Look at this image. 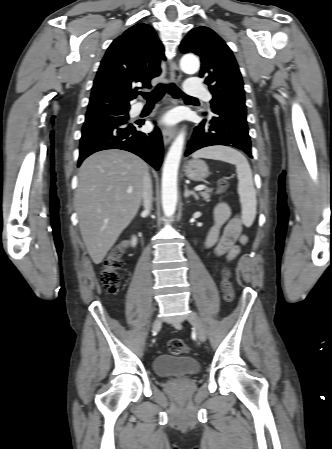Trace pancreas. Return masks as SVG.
<instances>
[{
	"label": "pancreas",
	"mask_w": 332,
	"mask_h": 449,
	"mask_svg": "<svg viewBox=\"0 0 332 449\" xmlns=\"http://www.w3.org/2000/svg\"><path fill=\"white\" fill-rule=\"evenodd\" d=\"M211 193H212V190H211V189H207V190L204 191V192H200V195L203 197V199H204L206 202H209V201H210Z\"/></svg>",
	"instance_id": "1"
}]
</instances>
